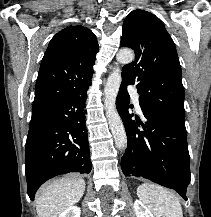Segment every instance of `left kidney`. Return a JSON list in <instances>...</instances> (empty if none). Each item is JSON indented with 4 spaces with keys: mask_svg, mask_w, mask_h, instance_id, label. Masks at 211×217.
Masks as SVG:
<instances>
[{
    "mask_svg": "<svg viewBox=\"0 0 211 217\" xmlns=\"http://www.w3.org/2000/svg\"><path fill=\"white\" fill-rule=\"evenodd\" d=\"M133 207L136 217H154L150 210L140 200H136Z\"/></svg>",
    "mask_w": 211,
    "mask_h": 217,
    "instance_id": "1",
    "label": "left kidney"
}]
</instances>
